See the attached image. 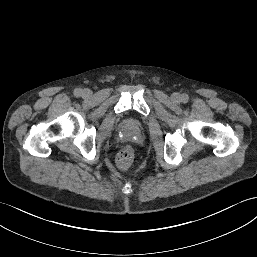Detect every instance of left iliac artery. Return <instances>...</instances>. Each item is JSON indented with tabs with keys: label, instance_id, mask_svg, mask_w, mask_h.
Masks as SVG:
<instances>
[{
	"label": "left iliac artery",
	"instance_id": "1",
	"mask_svg": "<svg viewBox=\"0 0 257 257\" xmlns=\"http://www.w3.org/2000/svg\"><path fill=\"white\" fill-rule=\"evenodd\" d=\"M181 100H182V102H184V103L188 102V100H189L188 95L183 94L182 97H181Z\"/></svg>",
	"mask_w": 257,
	"mask_h": 257
}]
</instances>
